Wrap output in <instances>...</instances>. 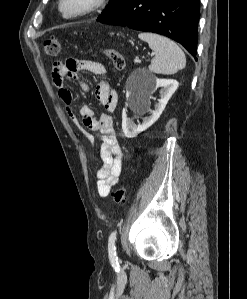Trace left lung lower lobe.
<instances>
[{"mask_svg":"<svg viewBox=\"0 0 247 299\" xmlns=\"http://www.w3.org/2000/svg\"><path fill=\"white\" fill-rule=\"evenodd\" d=\"M200 0H126L99 22L165 35L197 53Z\"/></svg>","mask_w":247,"mask_h":299,"instance_id":"0a47b994","label":"left lung lower lobe"}]
</instances>
